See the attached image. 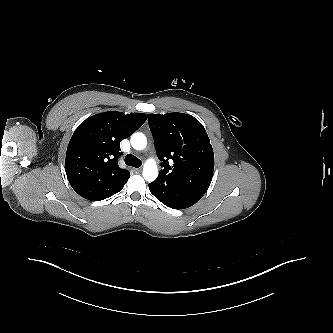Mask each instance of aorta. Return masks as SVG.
I'll list each match as a JSON object with an SVG mask.
<instances>
[{
	"label": "aorta",
	"instance_id": "762f6f07",
	"mask_svg": "<svg viewBox=\"0 0 333 333\" xmlns=\"http://www.w3.org/2000/svg\"><path fill=\"white\" fill-rule=\"evenodd\" d=\"M131 145L136 150H143L147 146V138L143 133L136 132L131 136ZM158 176V167L154 159H149L143 167V177L146 181L152 182Z\"/></svg>",
	"mask_w": 333,
	"mask_h": 333
}]
</instances>
